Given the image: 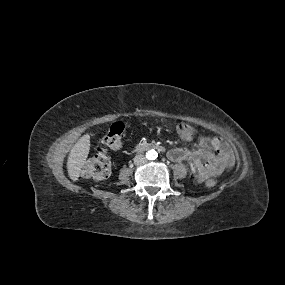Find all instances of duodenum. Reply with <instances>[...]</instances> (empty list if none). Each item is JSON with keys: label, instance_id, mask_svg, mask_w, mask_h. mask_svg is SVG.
<instances>
[{"label": "duodenum", "instance_id": "410a0bca", "mask_svg": "<svg viewBox=\"0 0 285 285\" xmlns=\"http://www.w3.org/2000/svg\"><path fill=\"white\" fill-rule=\"evenodd\" d=\"M151 148H155V149H158V150H164V147L163 146H160V145H157V144H152V143H142L140 145H138L135 149L136 150H139V151H144V150H148V149H151Z\"/></svg>", "mask_w": 285, "mask_h": 285}]
</instances>
